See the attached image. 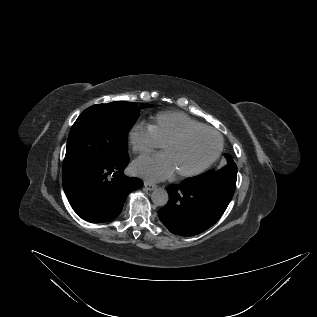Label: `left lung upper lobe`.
<instances>
[{"mask_svg":"<svg viewBox=\"0 0 317 317\" xmlns=\"http://www.w3.org/2000/svg\"><path fill=\"white\" fill-rule=\"evenodd\" d=\"M225 157L227 158V164L224 167L216 171H208L203 173L201 176L203 178L224 179L236 183L237 166L229 155H225Z\"/></svg>","mask_w":317,"mask_h":317,"instance_id":"1","label":"left lung upper lobe"}]
</instances>
